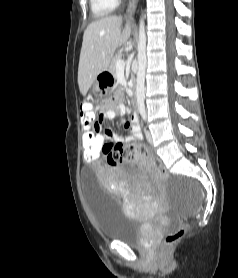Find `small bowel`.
Masks as SVG:
<instances>
[{
    "label": "small bowel",
    "instance_id": "small-bowel-1",
    "mask_svg": "<svg viewBox=\"0 0 238 278\" xmlns=\"http://www.w3.org/2000/svg\"><path fill=\"white\" fill-rule=\"evenodd\" d=\"M126 112V108L123 104H119L114 108H111L109 106H105L103 109V113L101 115V119L95 123L91 128L95 131V136H83L84 137H103L105 141V146L109 143H118L122 144L124 142H130V141H138L142 139V133L138 122V117L134 114L131 116V118L125 123L124 128L126 130L130 131V135L125 137L122 135H118L110 131L108 128L105 129V135L101 133L103 130V123L106 120H113L116 119L122 115H124ZM84 142V141H83ZM84 146V145H83ZM103 146V154L106 155L104 151ZM101 154V153H100ZM136 159L140 164L151 167L145 160L140 158H134Z\"/></svg>",
    "mask_w": 238,
    "mask_h": 278
}]
</instances>
